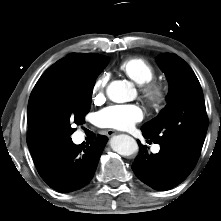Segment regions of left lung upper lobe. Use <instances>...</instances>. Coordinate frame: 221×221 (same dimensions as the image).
I'll return each mask as SVG.
<instances>
[{"mask_svg": "<svg viewBox=\"0 0 221 221\" xmlns=\"http://www.w3.org/2000/svg\"><path fill=\"white\" fill-rule=\"evenodd\" d=\"M157 63L170 84L168 104L141 129L154 143L177 147L198 159L208 128L200 83L188 64L174 53L159 55Z\"/></svg>", "mask_w": 221, "mask_h": 221, "instance_id": "1", "label": "left lung upper lobe"}]
</instances>
